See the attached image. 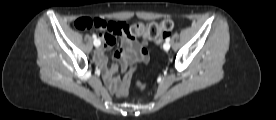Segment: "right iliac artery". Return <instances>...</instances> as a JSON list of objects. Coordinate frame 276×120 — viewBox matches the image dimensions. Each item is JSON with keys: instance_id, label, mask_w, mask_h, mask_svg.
Here are the masks:
<instances>
[{"instance_id": "1", "label": "right iliac artery", "mask_w": 276, "mask_h": 120, "mask_svg": "<svg viewBox=\"0 0 276 120\" xmlns=\"http://www.w3.org/2000/svg\"><path fill=\"white\" fill-rule=\"evenodd\" d=\"M93 38H94V45L95 46H99L100 45V41L95 43V40H97V36L96 35H93Z\"/></svg>"}]
</instances>
